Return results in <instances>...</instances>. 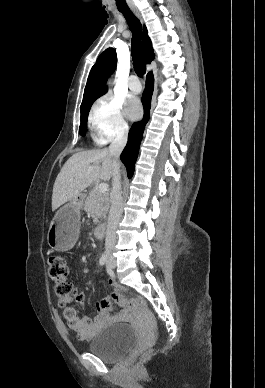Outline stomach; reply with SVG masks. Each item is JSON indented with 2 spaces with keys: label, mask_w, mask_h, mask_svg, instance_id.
I'll use <instances>...</instances> for the list:
<instances>
[{
  "label": "stomach",
  "mask_w": 265,
  "mask_h": 388,
  "mask_svg": "<svg viewBox=\"0 0 265 388\" xmlns=\"http://www.w3.org/2000/svg\"><path fill=\"white\" fill-rule=\"evenodd\" d=\"M81 207V199L75 198L57 211L47 235L52 249L66 251L74 246L79 234Z\"/></svg>",
  "instance_id": "stomach-1"
}]
</instances>
